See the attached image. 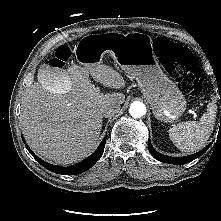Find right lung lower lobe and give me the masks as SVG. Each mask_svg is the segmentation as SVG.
I'll list each match as a JSON object with an SVG mask.
<instances>
[{
  "instance_id": "98d812e1",
  "label": "right lung lower lobe",
  "mask_w": 221,
  "mask_h": 221,
  "mask_svg": "<svg viewBox=\"0 0 221 221\" xmlns=\"http://www.w3.org/2000/svg\"><path fill=\"white\" fill-rule=\"evenodd\" d=\"M22 140L24 141L23 137H22ZM105 143H106V137L102 140L99 147L96 149V151L92 155H90L89 157H87L86 159H84L83 161L75 165L67 166V167L49 164L43 161L42 159H40L39 157L35 156L33 151L27 145H26V148L28 149L30 154L46 169L57 174L76 175V174L83 173L89 168H91L101 158L103 151H104Z\"/></svg>"
}]
</instances>
